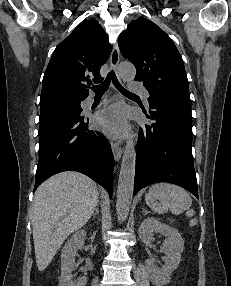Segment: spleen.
<instances>
[{
    "label": "spleen",
    "instance_id": "1",
    "mask_svg": "<svg viewBox=\"0 0 231 286\" xmlns=\"http://www.w3.org/2000/svg\"><path fill=\"white\" fill-rule=\"evenodd\" d=\"M145 202L157 213L170 210L173 214L179 215L190 208L192 199L182 187L169 183H156L149 188Z\"/></svg>",
    "mask_w": 231,
    "mask_h": 286
}]
</instances>
